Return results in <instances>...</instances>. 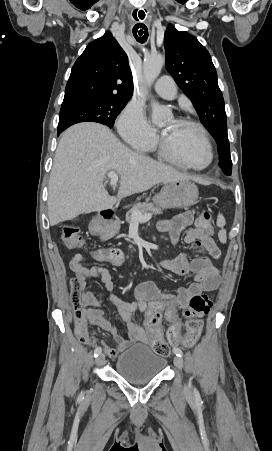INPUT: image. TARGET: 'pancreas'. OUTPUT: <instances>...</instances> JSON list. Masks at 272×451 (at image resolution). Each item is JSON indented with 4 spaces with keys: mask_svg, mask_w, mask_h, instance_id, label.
<instances>
[{
    "mask_svg": "<svg viewBox=\"0 0 272 451\" xmlns=\"http://www.w3.org/2000/svg\"><path fill=\"white\" fill-rule=\"evenodd\" d=\"M134 210H138V212H141V214H147V212H152V214H163L162 210H160V208H158V206H154V204H136V206H134V208H132V210H129V212H127L126 214V222H128V224H132V212H134ZM109 231H111V233H113V235H115V233H118V229L120 227L119 222H114V224H109V226H107Z\"/></svg>",
    "mask_w": 272,
    "mask_h": 451,
    "instance_id": "cf45deb5",
    "label": "pancreas"
}]
</instances>
